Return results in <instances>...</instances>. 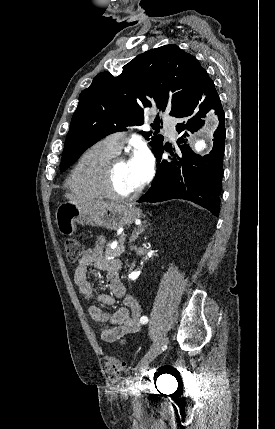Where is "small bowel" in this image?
Wrapping results in <instances>:
<instances>
[{"instance_id":"1","label":"small bowel","mask_w":275,"mask_h":429,"mask_svg":"<svg viewBox=\"0 0 275 429\" xmlns=\"http://www.w3.org/2000/svg\"><path fill=\"white\" fill-rule=\"evenodd\" d=\"M102 244L103 241L100 240L96 248L85 250L81 259L77 263L74 282L77 285L80 294L86 300H92L93 287L87 278L88 268L90 266H94L96 269L106 273L107 284L113 295H98V304L101 306H112L117 298L122 299L123 305L116 312L109 314L99 305L90 304L88 307V313L94 321L104 324L100 330L103 341L108 343H123L125 342L126 337L139 331L141 308L138 301L133 296L127 295L125 292V288L121 283L118 274L119 261L107 259L101 255Z\"/></svg>"}]
</instances>
